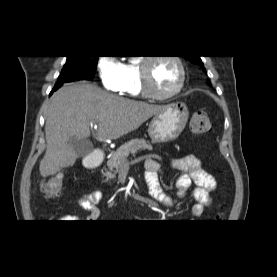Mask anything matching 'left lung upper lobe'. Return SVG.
<instances>
[{
  "label": "left lung upper lobe",
  "instance_id": "5c2ea615",
  "mask_svg": "<svg viewBox=\"0 0 277 277\" xmlns=\"http://www.w3.org/2000/svg\"><path fill=\"white\" fill-rule=\"evenodd\" d=\"M185 58L190 60L192 63L199 65L203 69V71L206 72V70L204 68V64H203L202 60L200 59V56H190V57L185 56Z\"/></svg>",
  "mask_w": 277,
  "mask_h": 277
}]
</instances>
